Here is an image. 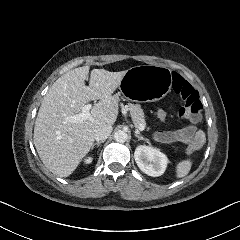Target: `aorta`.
Returning a JSON list of instances; mask_svg holds the SVG:
<instances>
[{"mask_svg":"<svg viewBox=\"0 0 240 240\" xmlns=\"http://www.w3.org/2000/svg\"><path fill=\"white\" fill-rule=\"evenodd\" d=\"M114 139L116 142L124 143L128 139V134L124 130H118L114 133Z\"/></svg>","mask_w":240,"mask_h":240,"instance_id":"aorta-1","label":"aorta"}]
</instances>
